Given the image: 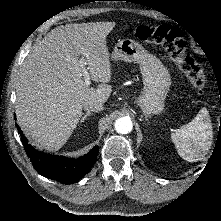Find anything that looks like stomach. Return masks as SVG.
Listing matches in <instances>:
<instances>
[{
	"label": "stomach",
	"instance_id": "0dacf381",
	"mask_svg": "<svg viewBox=\"0 0 221 221\" xmlns=\"http://www.w3.org/2000/svg\"><path fill=\"white\" fill-rule=\"evenodd\" d=\"M111 58L139 64L144 87L137 103L145 116L160 114L172 83L169 71L162 62L132 39L119 41Z\"/></svg>",
	"mask_w": 221,
	"mask_h": 221
}]
</instances>
